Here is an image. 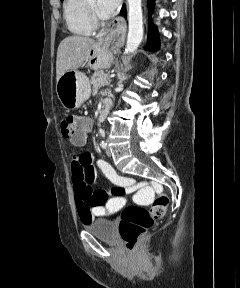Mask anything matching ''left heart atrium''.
Segmentation results:
<instances>
[{"instance_id": "1", "label": "left heart atrium", "mask_w": 240, "mask_h": 288, "mask_svg": "<svg viewBox=\"0 0 240 288\" xmlns=\"http://www.w3.org/2000/svg\"><path fill=\"white\" fill-rule=\"evenodd\" d=\"M121 0H96V9L100 17L107 18L111 16Z\"/></svg>"}]
</instances>
